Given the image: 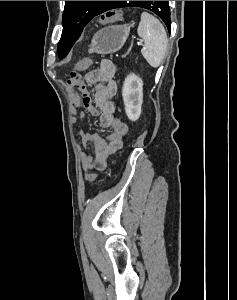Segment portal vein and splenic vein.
<instances>
[{
    "label": "portal vein and splenic vein",
    "mask_w": 237,
    "mask_h": 300,
    "mask_svg": "<svg viewBox=\"0 0 237 300\" xmlns=\"http://www.w3.org/2000/svg\"><path fill=\"white\" fill-rule=\"evenodd\" d=\"M138 45H142V41H139Z\"/></svg>",
    "instance_id": "obj_1"
}]
</instances>
